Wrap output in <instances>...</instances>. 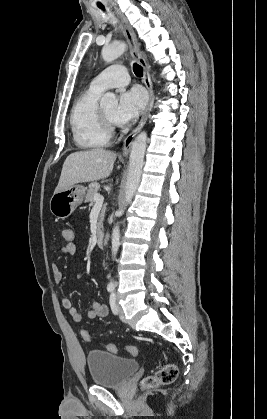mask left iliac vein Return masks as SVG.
Segmentation results:
<instances>
[{
    "instance_id": "left-iliac-vein-1",
    "label": "left iliac vein",
    "mask_w": 267,
    "mask_h": 419,
    "mask_svg": "<svg viewBox=\"0 0 267 419\" xmlns=\"http://www.w3.org/2000/svg\"><path fill=\"white\" fill-rule=\"evenodd\" d=\"M117 308H118V314H119L120 319L123 322H126V319H125V316H124V312H123L121 306L120 305H117Z\"/></svg>"
}]
</instances>
